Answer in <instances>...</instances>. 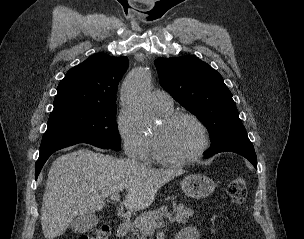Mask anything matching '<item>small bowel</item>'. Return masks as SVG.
Segmentation results:
<instances>
[{"mask_svg":"<svg viewBox=\"0 0 304 239\" xmlns=\"http://www.w3.org/2000/svg\"><path fill=\"white\" fill-rule=\"evenodd\" d=\"M177 237V239H199L200 233L197 228L188 227L179 232Z\"/></svg>","mask_w":304,"mask_h":239,"instance_id":"1","label":"small bowel"}]
</instances>
